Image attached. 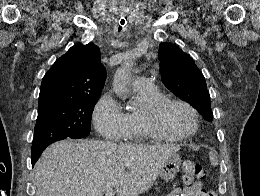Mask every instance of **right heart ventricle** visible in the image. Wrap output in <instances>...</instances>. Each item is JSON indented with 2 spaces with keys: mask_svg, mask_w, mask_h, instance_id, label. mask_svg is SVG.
Returning a JSON list of instances; mask_svg holds the SVG:
<instances>
[{
  "mask_svg": "<svg viewBox=\"0 0 260 196\" xmlns=\"http://www.w3.org/2000/svg\"><path fill=\"white\" fill-rule=\"evenodd\" d=\"M132 89L136 99L140 101L141 107L139 110L131 111L127 113L128 127L129 129L140 130L141 132L136 137H131L129 139H126L124 143H138L146 139L155 138L150 133L145 131L144 128L142 127L140 123V114L145 107L153 104L158 100L165 98L163 93H161V91L153 85L141 86V87H137L133 85Z\"/></svg>",
  "mask_w": 260,
  "mask_h": 196,
  "instance_id": "obj_1",
  "label": "right heart ventricle"
}]
</instances>
